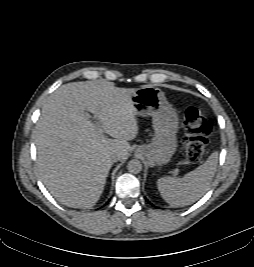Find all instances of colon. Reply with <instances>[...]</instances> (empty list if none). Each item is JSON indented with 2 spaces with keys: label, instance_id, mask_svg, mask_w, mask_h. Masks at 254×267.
Masks as SVG:
<instances>
[{
  "label": "colon",
  "instance_id": "1",
  "mask_svg": "<svg viewBox=\"0 0 254 267\" xmlns=\"http://www.w3.org/2000/svg\"><path fill=\"white\" fill-rule=\"evenodd\" d=\"M182 126L185 134L186 157L189 162L197 163L206 152L211 124L198 108L191 106L184 112Z\"/></svg>",
  "mask_w": 254,
  "mask_h": 267
}]
</instances>
